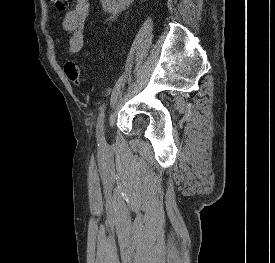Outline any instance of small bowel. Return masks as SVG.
Here are the masks:
<instances>
[{
  "label": "small bowel",
  "mask_w": 275,
  "mask_h": 263,
  "mask_svg": "<svg viewBox=\"0 0 275 263\" xmlns=\"http://www.w3.org/2000/svg\"><path fill=\"white\" fill-rule=\"evenodd\" d=\"M90 9L89 0H76L63 20V28L69 34L68 50L71 54L80 52L84 45V24Z\"/></svg>",
  "instance_id": "small-bowel-1"
}]
</instances>
